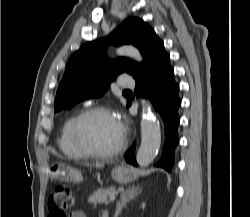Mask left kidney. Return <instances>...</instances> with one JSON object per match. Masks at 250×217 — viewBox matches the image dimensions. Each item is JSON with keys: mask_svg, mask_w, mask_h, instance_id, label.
Masks as SVG:
<instances>
[{"mask_svg": "<svg viewBox=\"0 0 250 217\" xmlns=\"http://www.w3.org/2000/svg\"><path fill=\"white\" fill-rule=\"evenodd\" d=\"M144 207H145V203L142 204V208H143V209H144Z\"/></svg>", "mask_w": 250, "mask_h": 217, "instance_id": "obj_1", "label": "left kidney"}]
</instances>
